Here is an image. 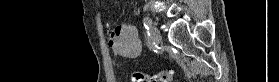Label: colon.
Here are the masks:
<instances>
[{
	"label": "colon",
	"instance_id": "1",
	"mask_svg": "<svg viewBox=\"0 0 279 82\" xmlns=\"http://www.w3.org/2000/svg\"><path fill=\"white\" fill-rule=\"evenodd\" d=\"M173 69H166L162 74H153L145 72H134L131 76V82H169L172 79Z\"/></svg>",
	"mask_w": 279,
	"mask_h": 82
}]
</instances>
